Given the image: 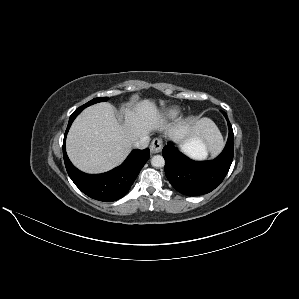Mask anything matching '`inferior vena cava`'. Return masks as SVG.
Instances as JSON below:
<instances>
[{
	"mask_svg": "<svg viewBox=\"0 0 299 299\" xmlns=\"http://www.w3.org/2000/svg\"><path fill=\"white\" fill-rule=\"evenodd\" d=\"M150 141L149 136H143L134 142V147L137 149H145L148 147Z\"/></svg>",
	"mask_w": 299,
	"mask_h": 299,
	"instance_id": "1",
	"label": "inferior vena cava"
}]
</instances>
